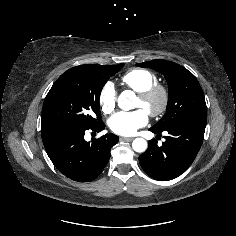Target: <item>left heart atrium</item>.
Here are the masks:
<instances>
[{"mask_svg": "<svg viewBox=\"0 0 236 236\" xmlns=\"http://www.w3.org/2000/svg\"><path fill=\"white\" fill-rule=\"evenodd\" d=\"M148 122V113L140 108L132 112H118L113 115L108 126L112 132L122 136L133 135L139 128L145 126Z\"/></svg>", "mask_w": 236, "mask_h": 236, "instance_id": "1", "label": "left heart atrium"}]
</instances>
